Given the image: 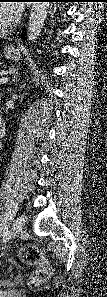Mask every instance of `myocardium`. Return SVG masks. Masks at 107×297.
Masks as SVG:
<instances>
[{
	"label": "myocardium",
	"mask_w": 107,
	"mask_h": 297,
	"mask_svg": "<svg viewBox=\"0 0 107 297\" xmlns=\"http://www.w3.org/2000/svg\"><path fill=\"white\" fill-rule=\"evenodd\" d=\"M15 23H16V21L13 20L7 25L0 26V34H4V33L9 32L14 27Z\"/></svg>",
	"instance_id": "myocardium-1"
}]
</instances>
